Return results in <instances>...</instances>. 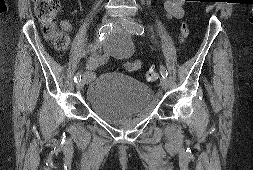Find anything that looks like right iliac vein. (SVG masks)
Segmentation results:
<instances>
[{
  "label": "right iliac vein",
  "mask_w": 253,
  "mask_h": 170,
  "mask_svg": "<svg viewBox=\"0 0 253 170\" xmlns=\"http://www.w3.org/2000/svg\"><path fill=\"white\" fill-rule=\"evenodd\" d=\"M109 22V16L106 14L102 18V24H107ZM89 81V74L85 72L82 79L77 83V89L82 90L84 85Z\"/></svg>",
  "instance_id": "1"
}]
</instances>
